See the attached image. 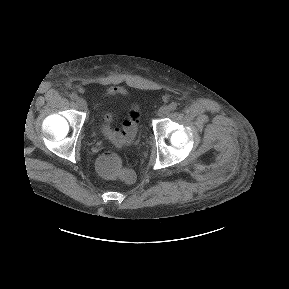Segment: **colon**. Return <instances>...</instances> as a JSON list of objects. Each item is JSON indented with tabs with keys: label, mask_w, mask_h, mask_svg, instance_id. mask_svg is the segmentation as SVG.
<instances>
[{
	"label": "colon",
	"mask_w": 289,
	"mask_h": 289,
	"mask_svg": "<svg viewBox=\"0 0 289 289\" xmlns=\"http://www.w3.org/2000/svg\"><path fill=\"white\" fill-rule=\"evenodd\" d=\"M139 118V110L135 107L122 123V128L114 132L112 139L115 142H122L133 137ZM97 168L100 174L107 179H121L127 182L132 180V174L123 168L121 157L114 151L102 153L97 160Z\"/></svg>",
	"instance_id": "obj_1"
}]
</instances>
